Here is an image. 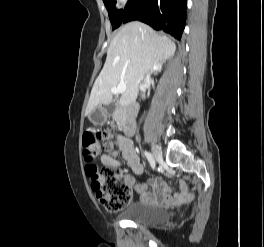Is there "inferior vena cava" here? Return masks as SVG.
<instances>
[{
    "label": "inferior vena cava",
    "instance_id": "inferior-vena-cava-1",
    "mask_svg": "<svg viewBox=\"0 0 264 247\" xmlns=\"http://www.w3.org/2000/svg\"><path fill=\"white\" fill-rule=\"evenodd\" d=\"M148 81H149V74L146 73V74L144 75V83H146V82H148ZM143 85H144V84H141V85H140V88H141V89H142ZM142 96H143V94H142Z\"/></svg>",
    "mask_w": 264,
    "mask_h": 247
}]
</instances>
